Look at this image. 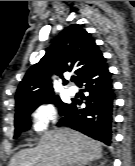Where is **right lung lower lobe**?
Listing matches in <instances>:
<instances>
[{"label":"right lung lower lobe","instance_id":"right-lung-lower-lobe-1","mask_svg":"<svg viewBox=\"0 0 135 166\" xmlns=\"http://www.w3.org/2000/svg\"><path fill=\"white\" fill-rule=\"evenodd\" d=\"M78 85L86 87L89 96L85 100L86 107H81L83 101L73 100L58 126H69L107 145L112 143V126L115 94L111 73L102 60L98 65L85 73Z\"/></svg>","mask_w":135,"mask_h":166}]
</instances>
